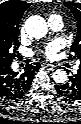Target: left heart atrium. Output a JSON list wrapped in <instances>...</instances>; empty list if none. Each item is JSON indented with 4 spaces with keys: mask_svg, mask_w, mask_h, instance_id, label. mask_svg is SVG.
I'll return each instance as SVG.
<instances>
[{
    "mask_svg": "<svg viewBox=\"0 0 81 124\" xmlns=\"http://www.w3.org/2000/svg\"><path fill=\"white\" fill-rule=\"evenodd\" d=\"M59 49H60V43L57 41H53L45 47L44 54L48 58H52Z\"/></svg>",
    "mask_w": 81,
    "mask_h": 124,
    "instance_id": "39dd6f15",
    "label": "left heart atrium"
}]
</instances>
